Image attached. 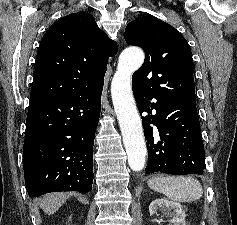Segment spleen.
Returning a JSON list of instances; mask_svg holds the SVG:
<instances>
[{
    "instance_id": "spleen-1",
    "label": "spleen",
    "mask_w": 237,
    "mask_h": 225,
    "mask_svg": "<svg viewBox=\"0 0 237 225\" xmlns=\"http://www.w3.org/2000/svg\"><path fill=\"white\" fill-rule=\"evenodd\" d=\"M148 185L172 201L192 202L203 194L201 183L191 176H155Z\"/></svg>"
}]
</instances>
